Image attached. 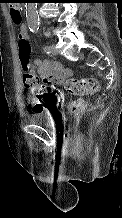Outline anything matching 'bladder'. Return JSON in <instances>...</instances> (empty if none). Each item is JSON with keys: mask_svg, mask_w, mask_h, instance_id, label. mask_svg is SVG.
<instances>
[{"mask_svg": "<svg viewBox=\"0 0 122 218\" xmlns=\"http://www.w3.org/2000/svg\"><path fill=\"white\" fill-rule=\"evenodd\" d=\"M29 120L33 122L46 123L47 118L43 113H34L29 115Z\"/></svg>", "mask_w": 122, "mask_h": 218, "instance_id": "bladder-1", "label": "bladder"}]
</instances>
